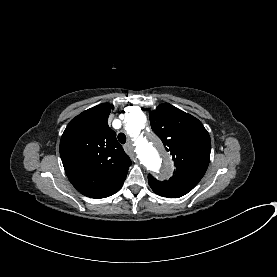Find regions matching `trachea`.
I'll list each match as a JSON object with an SVG mask.
<instances>
[{
    "instance_id": "obj_1",
    "label": "trachea",
    "mask_w": 277,
    "mask_h": 277,
    "mask_svg": "<svg viewBox=\"0 0 277 277\" xmlns=\"http://www.w3.org/2000/svg\"><path fill=\"white\" fill-rule=\"evenodd\" d=\"M118 140L122 143V144H125L126 142V136L124 133H119L118 134Z\"/></svg>"
}]
</instances>
